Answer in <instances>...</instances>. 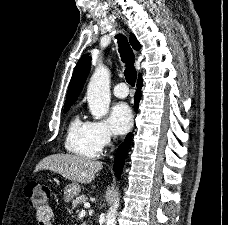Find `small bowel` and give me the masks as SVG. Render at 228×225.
<instances>
[{"instance_id":"obj_1","label":"small bowel","mask_w":228,"mask_h":225,"mask_svg":"<svg viewBox=\"0 0 228 225\" xmlns=\"http://www.w3.org/2000/svg\"><path fill=\"white\" fill-rule=\"evenodd\" d=\"M38 225H52L53 212L49 206L36 212Z\"/></svg>"}]
</instances>
